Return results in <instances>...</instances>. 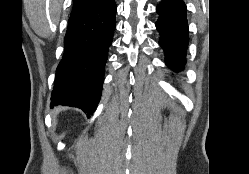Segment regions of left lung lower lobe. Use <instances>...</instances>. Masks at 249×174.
Instances as JSON below:
<instances>
[{"instance_id": "obj_1", "label": "left lung lower lobe", "mask_w": 249, "mask_h": 174, "mask_svg": "<svg viewBox=\"0 0 249 174\" xmlns=\"http://www.w3.org/2000/svg\"><path fill=\"white\" fill-rule=\"evenodd\" d=\"M159 19L156 27L160 33V46L165 51V61L174 71H181L186 63L188 23L183 0H162L156 9Z\"/></svg>"}]
</instances>
